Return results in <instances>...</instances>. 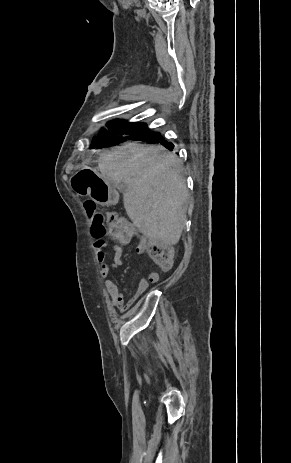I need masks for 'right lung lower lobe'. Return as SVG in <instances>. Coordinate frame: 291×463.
I'll return each instance as SVG.
<instances>
[{
    "label": "right lung lower lobe",
    "instance_id": "98d812e1",
    "mask_svg": "<svg viewBox=\"0 0 291 463\" xmlns=\"http://www.w3.org/2000/svg\"><path fill=\"white\" fill-rule=\"evenodd\" d=\"M147 143H161L164 147H166L169 150L173 149V144L170 142L165 141L160 134L148 139L144 140Z\"/></svg>",
    "mask_w": 291,
    "mask_h": 463
}]
</instances>
